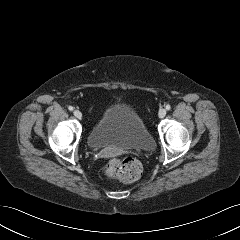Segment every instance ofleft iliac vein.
<instances>
[{
  "label": "left iliac vein",
  "instance_id": "left-iliac-vein-1",
  "mask_svg": "<svg viewBox=\"0 0 240 240\" xmlns=\"http://www.w3.org/2000/svg\"><path fill=\"white\" fill-rule=\"evenodd\" d=\"M165 115H166V110L165 109H160L159 112H158V116L160 118H163V117H165Z\"/></svg>",
  "mask_w": 240,
  "mask_h": 240
}]
</instances>
